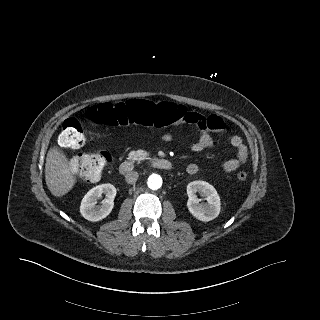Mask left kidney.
<instances>
[{
  "label": "left kidney",
  "instance_id": "obj_1",
  "mask_svg": "<svg viewBox=\"0 0 320 320\" xmlns=\"http://www.w3.org/2000/svg\"><path fill=\"white\" fill-rule=\"evenodd\" d=\"M205 197L207 203L200 204L196 193ZM189 212L198 220L208 222L218 217L221 209V201L216 189L205 181H193L187 185Z\"/></svg>",
  "mask_w": 320,
  "mask_h": 320
}]
</instances>
